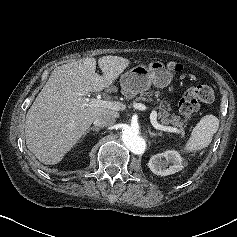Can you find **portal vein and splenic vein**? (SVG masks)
<instances>
[{
	"label": "portal vein and splenic vein",
	"mask_w": 237,
	"mask_h": 237,
	"mask_svg": "<svg viewBox=\"0 0 237 237\" xmlns=\"http://www.w3.org/2000/svg\"><path fill=\"white\" fill-rule=\"evenodd\" d=\"M89 101V105L96 106V107H103L115 111H123L125 110V105L116 102V101H108V100H102L101 98H92L87 99ZM133 108L140 110V111H146L148 110V107L145 106L142 103H134ZM150 121L154 128L161 130V131H167V132H175V133H181L180 129L176 127L171 126H164L158 123L157 121V112L155 110H151L150 114Z\"/></svg>",
	"instance_id": "1"
}]
</instances>
